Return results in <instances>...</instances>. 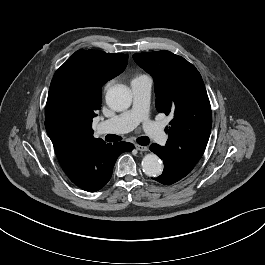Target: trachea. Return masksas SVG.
Returning <instances> with one entry per match:
<instances>
[{
	"label": "trachea",
	"mask_w": 265,
	"mask_h": 265,
	"mask_svg": "<svg viewBox=\"0 0 265 265\" xmlns=\"http://www.w3.org/2000/svg\"><path fill=\"white\" fill-rule=\"evenodd\" d=\"M105 140L108 142H117V141L122 140V137L117 136V135H113V134H108L105 136ZM137 143L142 145V146H146L150 143V140L146 136H141V137L137 138Z\"/></svg>",
	"instance_id": "trachea-1"
}]
</instances>
